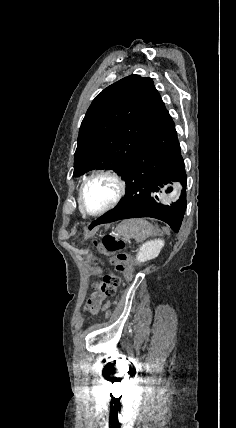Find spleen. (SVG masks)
Listing matches in <instances>:
<instances>
[{
    "instance_id": "obj_1",
    "label": "spleen",
    "mask_w": 236,
    "mask_h": 428,
    "mask_svg": "<svg viewBox=\"0 0 236 428\" xmlns=\"http://www.w3.org/2000/svg\"><path fill=\"white\" fill-rule=\"evenodd\" d=\"M119 236L123 238H134L136 242H143L153 234V226L146 222L144 218H133V220H124L117 228Z\"/></svg>"
}]
</instances>
